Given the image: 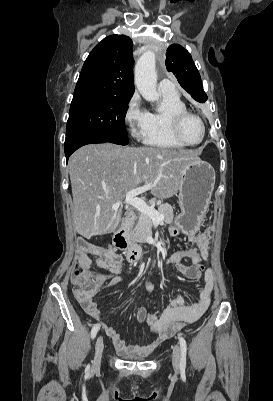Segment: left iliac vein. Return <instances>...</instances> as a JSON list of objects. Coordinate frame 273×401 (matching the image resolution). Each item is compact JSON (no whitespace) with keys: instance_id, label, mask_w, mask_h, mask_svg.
Instances as JSON below:
<instances>
[{"instance_id":"left-iliac-vein-1","label":"left iliac vein","mask_w":273,"mask_h":401,"mask_svg":"<svg viewBox=\"0 0 273 401\" xmlns=\"http://www.w3.org/2000/svg\"><path fill=\"white\" fill-rule=\"evenodd\" d=\"M180 358H181V352L179 346L176 344L173 347V353H172V365L173 368L176 372L179 371L180 367Z\"/></svg>"}]
</instances>
